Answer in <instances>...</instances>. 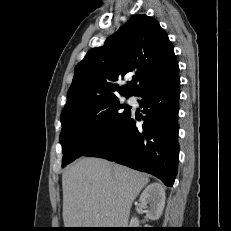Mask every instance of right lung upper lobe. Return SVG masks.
<instances>
[{
    "label": "right lung upper lobe",
    "instance_id": "obj_1",
    "mask_svg": "<svg viewBox=\"0 0 231 231\" xmlns=\"http://www.w3.org/2000/svg\"><path fill=\"white\" fill-rule=\"evenodd\" d=\"M129 73L135 74V82L120 87L118 81ZM178 73L177 59L166 32L155 19L135 15L103 46L91 49L77 64L61 115L117 99V93L126 97L136 95Z\"/></svg>",
    "mask_w": 231,
    "mask_h": 231
}]
</instances>
